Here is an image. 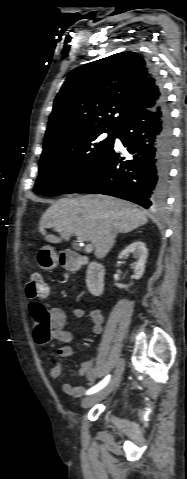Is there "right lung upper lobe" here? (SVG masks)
I'll return each mask as SVG.
<instances>
[{"mask_svg":"<svg viewBox=\"0 0 187 479\" xmlns=\"http://www.w3.org/2000/svg\"><path fill=\"white\" fill-rule=\"evenodd\" d=\"M160 98L156 77L136 52L78 67L55 98L44 146L87 130H118L131 115L154 107Z\"/></svg>","mask_w":187,"mask_h":479,"instance_id":"right-lung-upper-lobe-1","label":"right lung upper lobe"}]
</instances>
